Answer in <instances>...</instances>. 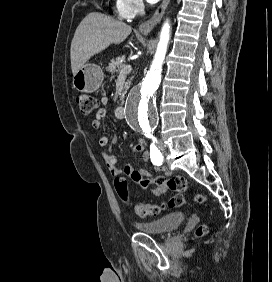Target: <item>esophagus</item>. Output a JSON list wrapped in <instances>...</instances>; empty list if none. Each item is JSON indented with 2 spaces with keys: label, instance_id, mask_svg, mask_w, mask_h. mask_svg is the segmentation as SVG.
Instances as JSON below:
<instances>
[{
  "label": "esophagus",
  "instance_id": "1",
  "mask_svg": "<svg viewBox=\"0 0 272 282\" xmlns=\"http://www.w3.org/2000/svg\"><path fill=\"white\" fill-rule=\"evenodd\" d=\"M170 0H163L160 6L155 11L154 15L139 26V32L142 34H149L153 28L160 22Z\"/></svg>",
  "mask_w": 272,
  "mask_h": 282
}]
</instances>
